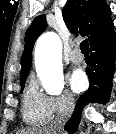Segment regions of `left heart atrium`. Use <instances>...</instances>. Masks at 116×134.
<instances>
[{
    "instance_id": "1",
    "label": "left heart atrium",
    "mask_w": 116,
    "mask_h": 134,
    "mask_svg": "<svg viewBox=\"0 0 116 134\" xmlns=\"http://www.w3.org/2000/svg\"><path fill=\"white\" fill-rule=\"evenodd\" d=\"M87 85V79L85 74L81 70L73 71L69 76V86L70 89L75 92L79 93L85 89Z\"/></svg>"
}]
</instances>
